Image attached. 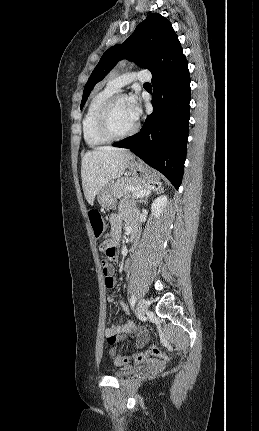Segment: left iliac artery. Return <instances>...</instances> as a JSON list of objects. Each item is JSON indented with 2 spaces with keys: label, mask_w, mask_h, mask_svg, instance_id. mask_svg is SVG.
<instances>
[{
  "label": "left iliac artery",
  "mask_w": 259,
  "mask_h": 431,
  "mask_svg": "<svg viewBox=\"0 0 259 431\" xmlns=\"http://www.w3.org/2000/svg\"><path fill=\"white\" fill-rule=\"evenodd\" d=\"M135 302H136V297H135V295L133 294V295L131 296V298H130V305H131V307H132V308L134 307Z\"/></svg>",
  "instance_id": "1"
}]
</instances>
